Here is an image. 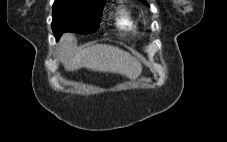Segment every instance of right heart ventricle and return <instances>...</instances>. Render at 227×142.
Returning a JSON list of instances; mask_svg holds the SVG:
<instances>
[{
  "label": "right heart ventricle",
  "mask_w": 227,
  "mask_h": 142,
  "mask_svg": "<svg viewBox=\"0 0 227 142\" xmlns=\"http://www.w3.org/2000/svg\"><path fill=\"white\" fill-rule=\"evenodd\" d=\"M117 26L125 31H135L138 28V20L134 13L126 6H121L116 14Z\"/></svg>",
  "instance_id": "obj_1"
}]
</instances>
